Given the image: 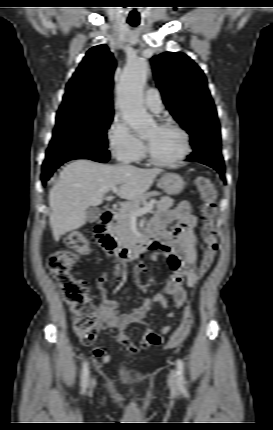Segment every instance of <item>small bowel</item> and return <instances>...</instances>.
Returning a JSON list of instances; mask_svg holds the SVG:
<instances>
[{
	"mask_svg": "<svg viewBox=\"0 0 273 430\" xmlns=\"http://www.w3.org/2000/svg\"><path fill=\"white\" fill-rule=\"evenodd\" d=\"M175 221L173 228L168 229V224ZM196 217L192 214L190 204L181 202L173 210L158 212L149 225L148 232L155 238L152 255L153 261H158L162 256L169 269L170 277L165 287V293H158L152 297H145L143 303L133 308L130 312L119 313L120 303L108 298L106 286L110 280H122L126 276V270L116 266L111 274L103 273L97 280L96 286L100 303L98 306V326L100 329L113 328L117 330L116 340L130 354H138L151 346H158L163 341V336L168 334L172 325H166L159 332L154 331L145 321L147 312L152 303H158L163 308H168L165 294L172 297L175 307H181L187 299V288L196 285L197 278V245L198 239L194 228ZM146 266L139 265V270L145 272ZM174 317V313H168ZM132 323H140L146 326L140 342L135 344L125 333V329ZM182 323L178 328H180ZM177 328V329H178ZM92 356L102 362H109L111 356L103 346H96L92 350Z\"/></svg>",
	"mask_w": 273,
	"mask_h": 430,
	"instance_id": "1",
	"label": "small bowel"
}]
</instances>
